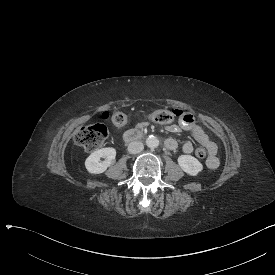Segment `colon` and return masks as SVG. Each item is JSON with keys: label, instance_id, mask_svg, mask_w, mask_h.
Listing matches in <instances>:
<instances>
[{"label": "colon", "instance_id": "1", "mask_svg": "<svg viewBox=\"0 0 275 275\" xmlns=\"http://www.w3.org/2000/svg\"><path fill=\"white\" fill-rule=\"evenodd\" d=\"M147 119L155 124H169L175 120V115L169 110H158L149 112ZM113 121L118 125L123 124L124 115L116 113L113 116ZM107 135V129L102 125H84L78 130L76 139L85 151H96L103 146ZM195 155L197 158L203 159L206 157V150L203 147H198L195 150Z\"/></svg>", "mask_w": 275, "mask_h": 275}]
</instances>
